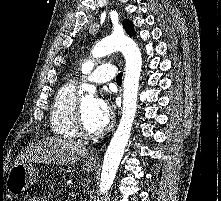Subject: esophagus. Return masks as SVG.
Masks as SVG:
<instances>
[{
  "mask_svg": "<svg viewBox=\"0 0 221 201\" xmlns=\"http://www.w3.org/2000/svg\"><path fill=\"white\" fill-rule=\"evenodd\" d=\"M89 161L98 162L99 161L98 155L96 154V155L90 156Z\"/></svg>",
  "mask_w": 221,
  "mask_h": 201,
  "instance_id": "obj_1",
  "label": "esophagus"
}]
</instances>
